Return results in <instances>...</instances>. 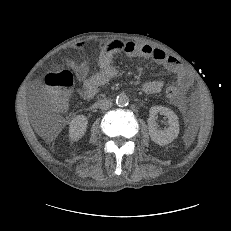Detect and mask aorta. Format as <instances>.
Listing matches in <instances>:
<instances>
[{
	"label": "aorta",
	"mask_w": 231,
	"mask_h": 231,
	"mask_svg": "<svg viewBox=\"0 0 231 231\" xmlns=\"http://www.w3.org/2000/svg\"><path fill=\"white\" fill-rule=\"evenodd\" d=\"M128 103H129V97L126 94L121 93L116 97V104L119 107L127 106Z\"/></svg>",
	"instance_id": "obj_1"
}]
</instances>
